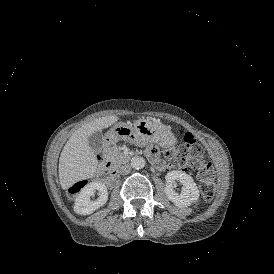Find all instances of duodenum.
I'll use <instances>...</instances> for the list:
<instances>
[{"instance_id": "410a0bca", "label": "duodenum", "mask_w": 274, "mask_h": 274, "mask_svg": "<svg viewBox=\"0 0 274 274\" xmlns=\"http://www.w3.org/2000/svg\"><path fill=\"white\" fill-rule=\"evenodd\" d=\"M97 159L99 161L100 167L102 170L110 177H114L116 175V170L112 163L107 159L106 155L103 152L98 153ZM154 166L160 170H166V166L160 160H152Z\"/></svg>"}]
</instances>
